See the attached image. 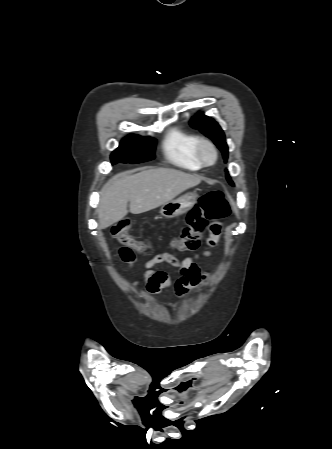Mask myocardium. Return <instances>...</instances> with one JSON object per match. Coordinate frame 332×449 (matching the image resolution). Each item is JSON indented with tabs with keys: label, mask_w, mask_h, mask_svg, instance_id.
Here are the masks:
<instances>
[{
	"label": "myocardium",
	"mask_w": 332,
	"mask_h": 449,
	"mask_svg": "<svg viewBox=\"0 0 332 449\" xmlns=\"http://www.w3.org/2000/svg\"><path fill=\"white\" fill-rule=\"evenodd\" d=\"M205 150H209L211 153V157L208 159L205 156ZM195 154L198 159V161L203 166H211L213 165L218 158V151L216 146L212 141H210L207 138H199L196 146H195Z\"/></svg>",
	"instance_id": "f54148a6"
}]
</instances>
